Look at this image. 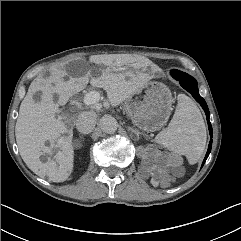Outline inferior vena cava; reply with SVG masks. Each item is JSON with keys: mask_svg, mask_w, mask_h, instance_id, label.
Instances as JSON below:
<instances>
[{"mask_svg": "<svg viewBox=\"0 0 241 241\" xmlns=\"http://www.w3.org/2000/svg\"><path fill=\"white\" fill-rule=\"evenodd\" d=\"M97 115L94 111H83L76 119V128L83 134L91 133L96 124Z\"/></svg>", "mask_w": 241, "mask_h": 241, "instance_id": "inferior-vena-cava-1", "label": "inferior vena cava"}]
</instances>
